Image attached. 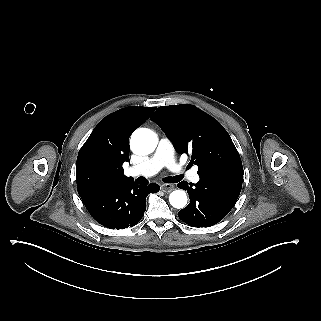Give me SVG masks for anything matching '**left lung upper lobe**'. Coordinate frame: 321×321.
Masks as SVG:
<instances>
[{
    "mask_svg": "<svg viewBox=\"0 0 321 321\" xmlns=\"http://www.w3.org/2000/svg\"><path fill=\"white\" fill-rule=\"evenodd\" d=\"M180 153L192 154L198 175L209 171L242 167L231 137L213 117L192 105L161 106L152 115Z\"/></svg>",
    "mask_w": 321,
    "mask_h": 321,
    "instance_id": "obj_1",
    "label": "left lung upper lobe"
}]
</instances>
